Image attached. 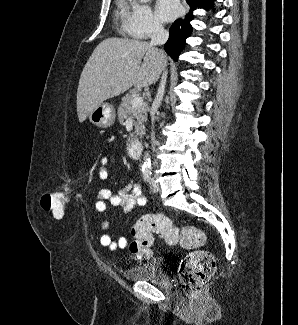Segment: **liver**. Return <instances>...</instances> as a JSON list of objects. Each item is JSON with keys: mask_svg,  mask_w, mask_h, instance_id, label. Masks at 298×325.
<instances>
[{"mask_svg": "<svg viewBox=\"0 0 298 325\" xmlns=\"http://www.w3.org/2000/svg\"><path fill=\"white\" fill-rule=\"evenodd\" d=\"M143 58V60H142ZM166 60L162 50L147 40L105 38L90 54L79 78L77 114L84 122L104 100L126 92L131 86L155 84Z\"/></svg>", "mask_w": 298, "mask_h": 325, "instance_id": "liver-1", "label": "liver"}]
</instances>
